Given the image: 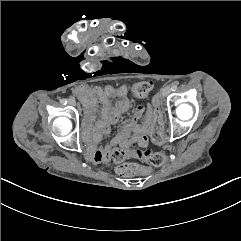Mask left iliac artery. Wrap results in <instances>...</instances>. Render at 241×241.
Wrapping results in <instances>:
<instances>
[{
  "instance_id": "obj_1",
  "label": "left iliac artery",
  "mask_w": 241,
  "mask_h": 241,
  "mask_svg": "<svg viewBox=\"0 0 241 241\" xmlns=\"http://www.w3.org/2000/svg\"><path fill=\"white\" fill-rule=\"evenodd\" d=\"M177 88H178V86H177L176 83H174V84L172 85V87H171L172 91H175Z\"/></svg>"
}]
</instances>
